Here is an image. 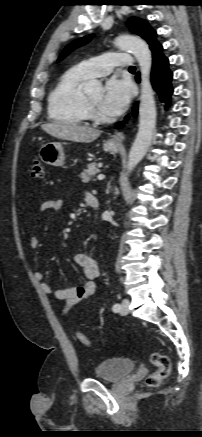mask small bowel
Segmentation results:
<instances>
[{
	"label": "small bowel",
	"mask_w": 202,
	"mask_h": 437,
	"mask_svg": "<svg viewBox=\"0 0 202 437\" xmlns=\"http://www.w3.org/2000/svg\"><path fill=\"white\" fill-rule=\"evenodd\" d=\"M88 195L89 194H87V196ZM62 207V200H49L41 204L40 212L44 213L49 210L60 211ZM30 246L33 249L38 248L39 240L37 236L31 237ZM74 262L81 268L86 278V281L82 285L53 288L49 283L44 281L43 272L39 270L34 272L35 279L41 283V288L45 293L53 294L56 299L65 301L63 314L68 313L77 303L88 299L94 294L96 288L94 280L100 274L98 262L86 253L76 254L74 256Z\"/></svg>",
	"instance_id": "1"
}]
</instances>
